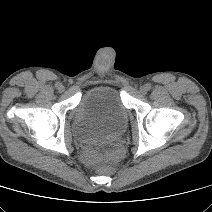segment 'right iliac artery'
Masks as SVG:
<instances>
[{
    "label": "right iliac artery",
    "instance_id": "right-iliac-artery-1",
    "mask_svg": "<svg viewBox=\"0 0 212 212\" xmlns=\"http://www.w3.org/2000/svg\"><path fill=\"white\" fill-rule=\"evenodd\" d=\"M59 86H60V83L57 82V83H56V87L58 88Z\"/></svg>",
    "mask_w": 212,
    "mask_h": 212
}]
</instances>
